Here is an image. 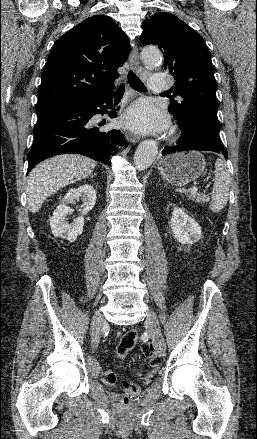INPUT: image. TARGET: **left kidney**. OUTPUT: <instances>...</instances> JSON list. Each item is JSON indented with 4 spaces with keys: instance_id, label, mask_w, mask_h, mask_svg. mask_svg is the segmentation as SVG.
Segmentation results:
<instances>
[{
    "instance_id": "1",
    "label": "left kidney",
    "mask_w": 257,
    "mask_h": 439,
    "mask_svg": "<svg viewBox=\"0 0 257 439\" xmlns=\"http://www.w3.org/2000/svg\"><path fill=\"white\" fill-rule=\"evenodd\" d=\"M170 224L174 238L182 244H193L202 238L200 226L182 208L174 207Z\"/></svg>"
}]
</instances>
